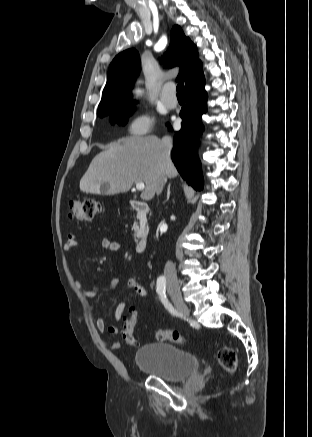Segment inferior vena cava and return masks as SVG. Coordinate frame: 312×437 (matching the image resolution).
<instances>
[{
    "instance_id": "inferior-vena-cava-1",
    "label": "inferior vena cava",
    "mask_w": 312,
    "mask_h": 437,
    "mask_svg": "<svg viewBox=\"0 0 312 437\" xmlns=\"http://www.w3.org/2000/svg\"><path fill=\"white\" fill-rule=\"evenodd\" d=\"M162 145H163V153L167 156H170L171 149L173 147L172 138L169 136H165L162 138ZM166 178L164 176H160L157 181V188L156 193L159 195L164 187ZM165 272L168 274H175L176 273V267L175 264L171 261H167L165 264Z\"/></svg>"
}]
</instances>
